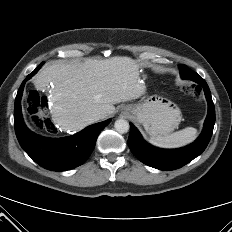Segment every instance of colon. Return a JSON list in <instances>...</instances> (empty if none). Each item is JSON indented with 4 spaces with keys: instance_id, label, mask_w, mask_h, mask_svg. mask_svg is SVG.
I'll return each mask as SVG.
<instances>
[{
    "instance_id": "5ec220e1",
    "label": "colon",
    "mask_w": 232,
    "mask_h": 232,
    "mask_svg": "<svg viewBox=\"0 0 232 232\" xmlns=\"http://www.w3.org/2000/svg\"><path fill=\"white\" fill-rule=\"evenodd\" d=\"M181 90L188 95H191L196 100L201 98V90L192 84H183ZM28 111L34 125L42 126L45 122V110L47 101L45 97L40 95L37 91L32 90L27 96Z\"/></svg>"
}]
</instances>
